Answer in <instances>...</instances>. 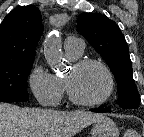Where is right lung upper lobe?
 <instances>
[{"mask_svg": "<svg viewBox=\"0 0 144 137\" xmlns=\"http://www.w3.org/2000/svg\"><path fill=\"white\" fill-rule=\"evenodd\" d=\"M42 17L34 5L21 6L0 24V63L35 57L43 32Z\"/></svg>", "mask_w": 144, "mask_h": 137, "instance_id": "obj_1", "label": "right lung upper lobe"}]
</instances>
